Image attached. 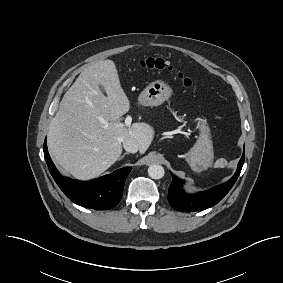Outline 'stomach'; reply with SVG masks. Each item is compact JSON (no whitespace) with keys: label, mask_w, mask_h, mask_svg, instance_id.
I'll return each mask as SVG.
<instances>
[{"label":"stomach","mask_w":283,"mask_h":283,"mask_svg":"<svg viewBox=\"0 0 283 283\" xmlns=\"http://www.w3.org/2000/svg\"><path fill=\"white\" fill-rule=\"evenodd\" d=\"M173 94L172 88L163 80L151 82L139 95L138 103L142 106H159ZM199 137L195 145L186 154L188 163L196 170L206 168L213 159V142L207 120L196 119Z\"/></svg>","instance_id":"1"}]
</instances>
